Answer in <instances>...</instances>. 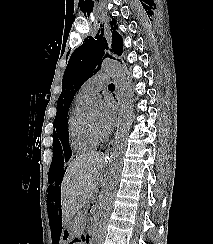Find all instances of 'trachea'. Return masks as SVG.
<instances>
[{
  "instance_id": "3493384b",
  "label": "trachea",
  "mask_w": 213,
  "mask_h": 244,
  "mask_svg": "<svg viewBox=\"0 0 213 244\" xmlns=\"http://www.w3.org/2000/svg\"><path fill=\"white\" fill-rule=\"evenodd\" d=\"M109 88H115L114 84H110Z\"/></svg>"
}]
</instances>
